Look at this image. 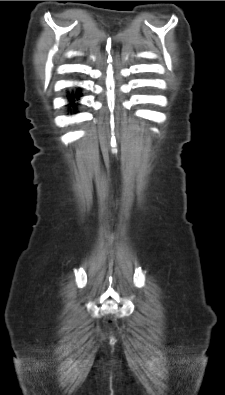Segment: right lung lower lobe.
Listing matches in <instances>:
<instances>
[{"label": "right lung lower lobe", "instance_id": "98d812e1", "mask_svg": "<svg viewBox=\"0 0 225 395\" xmlns=\"http://www.w3.org/2000/svg\"><path fill=\"white\" fill-rule=\"evenodd\" d=\"M80 96H81L80 89H77L75 93L72 92V93H68V94H67V98H68V101H69V105H70L72 108H74V109L76 108V103H75V101H76V100H79Z\"/></svg>", "mask_w": 225, "mask_h": 395}]
</instances>
